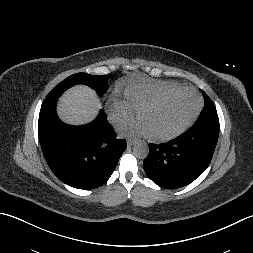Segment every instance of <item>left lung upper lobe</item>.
I'll list each match as a JSON object with an SVG mask.
<instances>
[{"mask_svg": "<svg viewBox=\"0 0 253 253\" xmlns=\"http://www.w3.org/2000/svg\"><path fill=\"white\" fill-rule=\"evenodd\" d=\"M202 94L204 97V108L196 122L209 121L219 123L217 111L213 102L204 91H202Z\"/></svg>", "mask_w": 253, "mask_h": 253, "instance_id": "1", "label": "left lung upper lobe"}]
</instances>
